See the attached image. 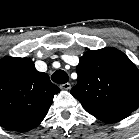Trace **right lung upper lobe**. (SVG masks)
I'll return each instance as SVG.
<instances>
[{
  "label": "right lung upper lobe",
  "instance_id": "obj_1",
  "mask_svg": "<svg viewBox=\"0 0 139 139\" xmlns=\"http://www.w3.org/2000/svg\"><path fill=\"white\" fill-rule=\"evenodd\" d=\"M60 89L36 70L29 58L5 56L0 60V125L29 131L45 118Z\"/></svg>",
  "mask_w": 139,
  "mask_h": 139
}]
</instances>
